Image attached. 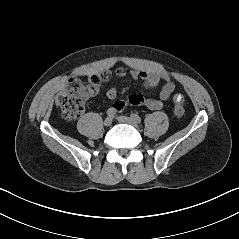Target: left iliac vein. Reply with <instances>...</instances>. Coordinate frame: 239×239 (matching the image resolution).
I'll return each instance as SVG.
<instances>
[{
  "label": "left iliac vein",
  "mask_w": 239,
  "mask_h": 239,
  "mask_svg": "<svg viewBox=\"0 0 239 239\" xmlns=\"http://www.w3.org/2000/svg\"><path fill=\"white\" fill-rule=\"evenodd\" d=\"M117 120L121 123L132 125L133 127H139L138 122L127 116H119Z\"/></svg>",
  "instance_id": "obj_1"
}]
</instances>
